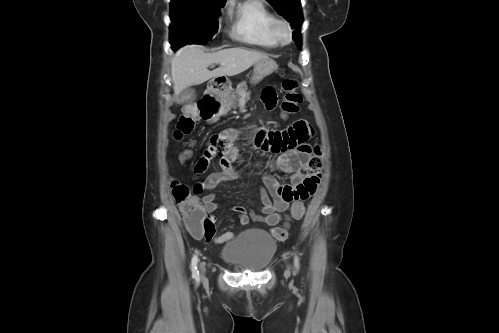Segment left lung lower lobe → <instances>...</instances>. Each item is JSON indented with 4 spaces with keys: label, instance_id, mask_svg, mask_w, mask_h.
I'll use <instances>...</instances> for the list:
<instances>
[{
    "label": "left lung lower lobe",
    "instance_id": "obj_1",
    "mask_svg": "<svg viewBox=\"0 0 499 333\" xmlns=\"http://www.w3.org/2000/svg\"><path fill=\"white\" fill-rule=\"evenodd\" d=\"M294 40H297V38H296V37H294Z\"/></svg>",
    "mask_w": 499,
    "mask_h": 333
}]
</instances>
